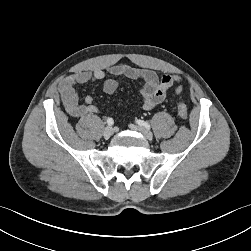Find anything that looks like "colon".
<instances>
[{
    "label": "colon",
    "mask_w": 251,
    "mask_h": 251,
    "mask_svg": "<svg viewBox=\"0 0 251 251\" xmlns=\"http://www.w3.org/2000/svg\"><path fill=\"white\" fill-rule=\"evenodd\" d=\"M178 115L182 119H187L188 118V110L185 104L179 103L178 104Z\"/></svg>",
    "instance_id": "colon-1"
}]
</instances>
